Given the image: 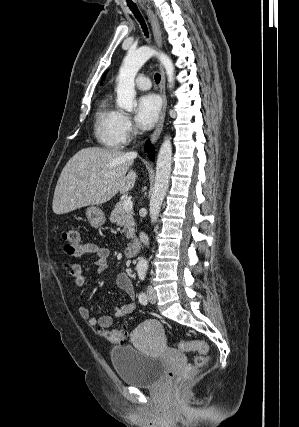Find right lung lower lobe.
Returning a JSON list of instances; mask_svg holds the SVG:
<instances>
[{
  "label": "right lung lower lobe",
  "mask_w": 299,
  "mask_h": 427,
  "mask_svg": "<svg viewBox=\"0 0 299 427\" xmlns=\"http://www.w3.org/2000/svg\"><path fill=\"white\" fill-rule=\"evenodd\" d=\"M146 151L150 153V155H149L150 159H153V157L151 155V153H152V147H151V144L149 142L146 143Z\"/></svg>",
  "instance_id": "obj_1"
}]
</instances>
